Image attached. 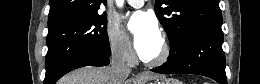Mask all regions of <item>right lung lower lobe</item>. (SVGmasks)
<instances>
[{
  "instance_id": "obj_1",
  "label": "right lung lower lobe",
  "mask_w": 260,
  "mask_h": 84,
  "mask_svg": "<svg viewBox=\"0 0 260 84\" xmlns=\"http://www.w3.org/2000/svg\"><path fill=\"white\" fill-rule=\"evenodd\" d=\"M110 63L108 57L96 55L78 56L65 62L51 77H45L44 84H55L66 73L84 66H106Z\"/></svg>"
}]
</instances>
